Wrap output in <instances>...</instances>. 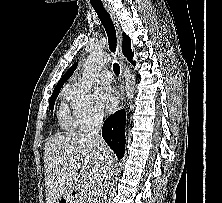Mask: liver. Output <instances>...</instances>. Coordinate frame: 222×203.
I'll list each match as a JSON object with an SVG mask.
<instances>
[{"label": "liver", "instance_id": "liver-1", "mask_svg": "<svg viewBox=\"0 0 222 203\" xmlns=\"http://www.w3.org/2000/svg\"><path fill=\"white\" fill-rule=\"evenodd\" d=\"M113 161L107 144L87 134L68 133L48 140L44 148L46 203L70 196L79 178L96 185L105 165Z\"/></svg>", "mask_w": 222, "mask_h": 203}]
</instances>
